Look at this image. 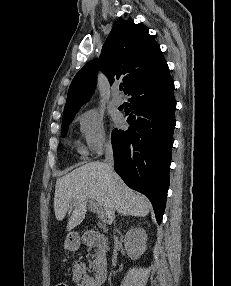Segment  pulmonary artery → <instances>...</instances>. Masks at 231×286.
<instances>
[{
  "instance_id": "pulmonary-artery-1",
  "label": "pulmonary artery",
  "mask_w": 231,
  "mask_h": 286,
  "mask_svg": "<svg viewBox=\"0 0 231 286\" xmlns=\"http://www.w3.org/2000/svg\"><path fill=\"white\" fill-rule=\"evenodd\" d=\"M112 103L115 106H120L123 104V98L118 94V88H114V95L112 97Z\"/></svg>"
}]
</instances>
